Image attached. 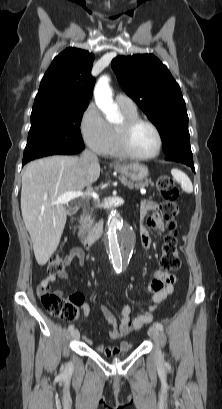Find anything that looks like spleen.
<instances>
[{"label": "spleen", "mask_w": 222, "mask_h": 409, "mask_svg": "<svg viewBox=\"0 0 222 409\" xmlns=\"http://www.w3.org/2000/svg\"><path fill=\"white\" fill-rule=\"evenodd\" d=\"M171 174L175 178V180L181 185V188L185 192L187 193L193 192L192 182L184 172H182L179 169H172Z\"/></svg>", "instance_id": "spleen-1"}]
</instances>
